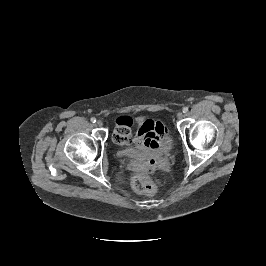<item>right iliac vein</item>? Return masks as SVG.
Segmentation results:
<instances>
[{
  "mask_svg": "<svg viewBox=\"0 0 266 266\" xmlns=\"http://www.w3.org/2000/svg\"><path fill=\"white\" fill-rule=\"evenodd\" d=\"M96 125L99 126V127H101V126H103V122H102L101 120H98V121L96 122Z\"/></svg>",
  "mask_w": 266,
  "mask_h": 266,
  "instance_id": "63e3f726",
  "label": "right iliac vein"
}]
</instances>
